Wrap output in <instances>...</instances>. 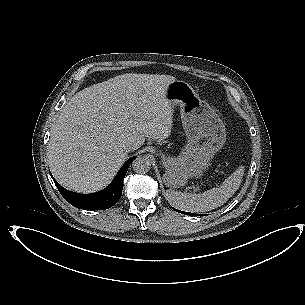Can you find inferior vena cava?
Listing matches in <instances>:
<instances>
[{"instance_id": "inferior-vena-cava-1", "label": "inferior vena cava", "mask_w": 305, "mask_h": 305, "mask_svg": "<svg viewBox=\"0 0 305 305\" xmlns=\"http://www.w3.org/2000/svg\"><path fill=\"white\" fill-rule=\"evenodd\" d=\"M124 150H125V152L129 153L130 151L136 150V147L134 145L127 144L124 146Z\"/></svg>"}]
</instances>
